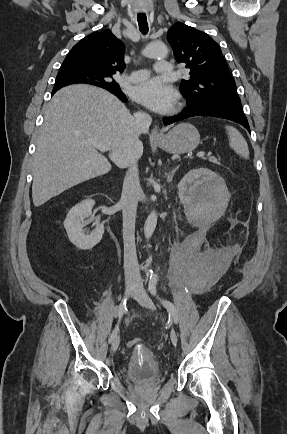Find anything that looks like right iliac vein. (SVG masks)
Returning a JSON list of instances; mask_svg holds the SVG:
<instances>
[{"mask_svg": "<svg viewBox=\"0 0 287 434\" xmlns=\"http://www.w3.org/2000/svg\"><path fill=\"white\" fill-rule=\"evenodd\" d=\"M134 282L129 281L126 284V295H131L132 294V286H133ZM120 344V338L117 336L111 343V352H115Z\"/></svg>", "mask_w": 287, "mask_h": 434, "instance_id": "63e3f726", "label": "right iliac vein"}]
</instances>
